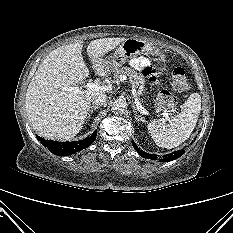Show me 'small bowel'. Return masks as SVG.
Instances as JSON below:
<instances>
[{
    "mask_svg": "<svg viewBox=\"0 0 233 233\" xmlns=\"http://www.w3.org/2000/svg\"><path fill=\"white\" fill-rule=\"evenodd\" d=\"M130 65L132 68L140 71L144 76L150 77L153 81L157 78V70L154 68L147 57L140 56L131 59Z\"/></svg>",
    "mask_w": 233,
    "mask_h": 233,
    "instance_id": "1",
    "label": "small bowel"
}]
</instances>
